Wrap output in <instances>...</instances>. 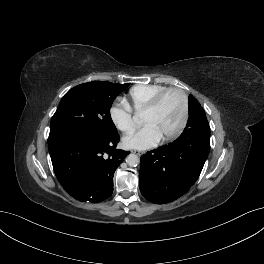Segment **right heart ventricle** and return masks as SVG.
I'll return each mask as SVG.
<instances>
[{"label":"right heart ventricle","mask_w":264,"mask_h":264,"mask_svg":"<svg viewBox=\"0 0 264 264\" xmlns=\"http://www.w3.org/2000/svg\"><path fill=\"white\" fill-rule=\"evenodd\" d=\"M166 88L168 87L161 84L136 85L129 90L126 103L132 110L142 112L151 100Z\"/></svg>","instance_id":"obj_1"}]
</instances>
